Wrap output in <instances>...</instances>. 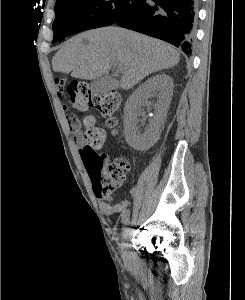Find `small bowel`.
<instances>
[{
    "mask_svg": "<svg viewBox=\"0 0 245 300\" xmlns=\"http://www.w3.org/2000/svg\"><path fill=\"white\" fill-rule=\"evenodd\" d=\"M67 121L69 124L70 131L73 134L74 142L81 148L82 145L84 144V138H83V132L79 120L75 116L69 115L67 117ZM137 194H138V189L136 187H132L130 189L131 197H135ZM129 203L130 202L128 200H124L118 203H113L110 199H101L99 201V208L104 214L109 215L118 212H124L125 210H127Z\"/></svg>",
    "mask_w": 245,
    "mask_h": 300,
    "instance_id": "1",
    "label": "small bowel"
}]
</instances>
